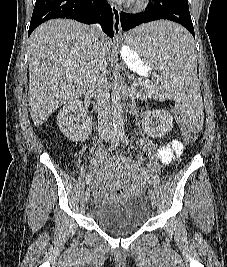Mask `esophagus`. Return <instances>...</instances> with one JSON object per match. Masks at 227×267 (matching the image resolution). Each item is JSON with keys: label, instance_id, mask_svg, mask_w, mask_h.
<instances>
[{"label": "esophagus", "instance_id": "esophagus-1", "mask_svg": "<svg viewBox=\"0 0 227 267\" xmlns=\"http://www.w3.org/2000/svg\"><path fill=\"white\" fill-rule=\"evenodd\" d=\"M112 13H113V26H114V33L116 37H119L122 32L121 28V21H120V8L115 4H111Z\"/></svg>", "mask_w": 227, "mask_h": 267}]
</instances>
